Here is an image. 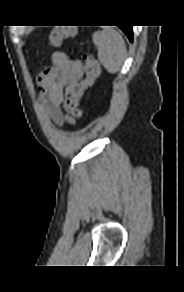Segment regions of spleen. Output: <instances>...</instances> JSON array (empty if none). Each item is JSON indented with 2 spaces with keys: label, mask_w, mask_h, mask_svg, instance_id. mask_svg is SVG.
<instances>
[{
  "label": "spleen",
  "mask_w": 184,
  "mask_h": 292,
  "mask_svg": "<svg viewBox=\"0 0 184 292\" xmlns=\"http://www.w3.org/2000/svg\"><path fill=\"white\" fill-rule=\"evenodd\" d=\"M93 43L98 49V59L109 73H116L125 58L126 44L116 30L107 28L93 34Z\"/></svg>",
  "instance_id": "spleen-1"
}]
</instances>
